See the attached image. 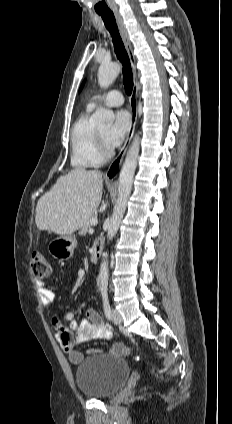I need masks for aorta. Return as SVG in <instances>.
Listing matches in <instances>:
<instances>
[{
    "label": "aorta",
    "instance_id": "762f6f07",
    "mask_svg": "<svg viewBox=\"0 0 232 424\" xmlns=\"http://www.w3.org/2000/svg\"><path fill=\"white\" fill-rule=\"evenodd\" d=\"M121 71L119 63H106L102 64L98 70V84L102 88H107L113 83ZM115 119L113 111L106 108L100 107L93 114L94 122L99 126L112 125ZM140 151V140L139 135H136L132 141L131 146L126 154L124 164L122 166L119 176V187H118V198L113 209L112 216L110 218L107 237L112 240L116 235L123 215L126 210L127 201L129 199L135 169L137 166L138 156ZM108 254H104L103 261L100 266L99 280H100V291L106 293L108 289Z\"/></svg>",
    "mask_w": 232,
    "mask_h": 424
}]
</instances>
